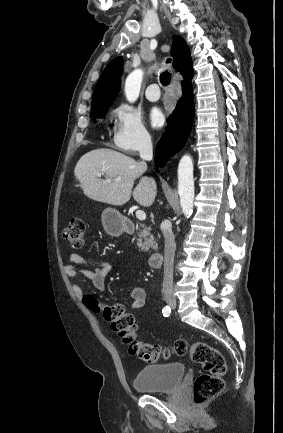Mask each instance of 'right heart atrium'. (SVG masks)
<instances>
[{"label":"right heart atrium","mask_w":283,"mask_h":433,"mask_svg":"<svg viewBox=\"0 0 283 433\" xmlns=\"http://www.w3.org/2000/svg\"><path fill=\"white\" fill-rule=\"evenodd\" d=\"M113 116L115 122L111 146L114 149L126 155H136L152 147V136L138 109L128 104H118L113 110Z\"/></svg>","instance_id":"1"}]
</instances>
